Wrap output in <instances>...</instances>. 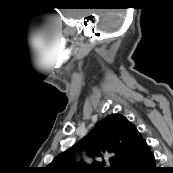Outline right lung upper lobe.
Here are the masks:
<instances>
[{
  "mask_svg": "<svg viewBox=\"0 0 173 173\" xmlns=\"http://www.w3.org/2000/svg\"><path fill=\"white\" fill-rule=\"evenodd\" d=\"M147 143L136 127L120 114H111L98 122L94 129L76 145L58 155L47 167L46 173H116L122 163L143 148ZM86 150L94 159H103L112 154L111 167H101L104 161H95L93 167L77 166L76 151Z\"/></svg>",
  "mask_w": 173,
  "mask_h": 173,
  "instance_id": "right-lung-upper-lobe-1",
  "label": "right lung upper lobe"
}]
</instances>
